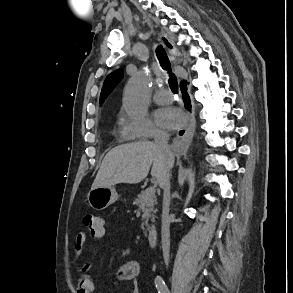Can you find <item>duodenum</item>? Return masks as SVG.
<instances>
[{
  "label": "duodenum",
  "mask_w": 293,
  "mask_h": 293,
  "mask_svg": "<svg viewBox=\"0 0 293 293\" xmlns=\"http://www.w3.org/2000/svg\"><path fill=\"white\" fill-rule=\"evenodd\" d=\"M159 230L157 228H151L148 231V241H149V245L152 248H155L159 242Z\"/></svg>",
  "instance_id": "obj_1"
}]
</instances>
